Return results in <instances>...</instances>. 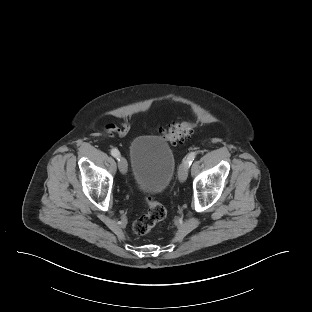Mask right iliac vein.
<instances>
[{
  "instance_id": "63e3f726",
  "label": "right iliac vein",
  "mask_w": 312,
  "mask_h": 312,
  "mask_svg": "<svg viewBox=\"0 0 312 312\" xmlns=\"http://www.w3.org/2000/svg\"><path fill=\"white\" fill-rule=\"evenodd\" d=\"M118 167L122 174H125L127 172V161L124 157H119Z\"/></svg>"
}]
</instances>
